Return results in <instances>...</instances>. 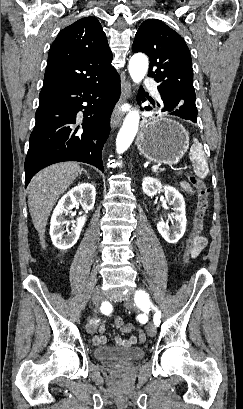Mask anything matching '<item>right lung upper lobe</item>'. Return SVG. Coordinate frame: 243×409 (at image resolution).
<instances>
[{"mask_svg":"<svg viewBox=\"0 0 243 409\" xmlns=\"http://www.w3.org/2000/svg\"><path fill=\"white\" fill-rule=\"evenodd\" d=\"M99 21L85 17L65 27L52 43L41 91L95 82L114 71Z\"/></svg>","mask_w":243,"mask_h":409,"instance_id":"obj_1","label":"right lung upper lobe"}]
</instances>
